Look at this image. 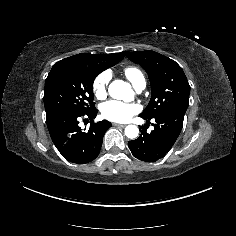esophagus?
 Returning <instances> with one entry per match:
<instances>
[{
  "label": "esophagus",
  "instance_id": "esophagus-1",
  "mask_svg": "<svg viewBox=\"0 0 236 236\" xmlns=\"http://www.w3.org/2000/svg\"><path fill=\"white\" fill-rule=\"evenodd\" d=\"M112 125L115 127H125L126 126L125 124H119V123H113Z\"/></svg>",
  "mask_w": 236,
  "mask_h": 236
}]
</instances>
